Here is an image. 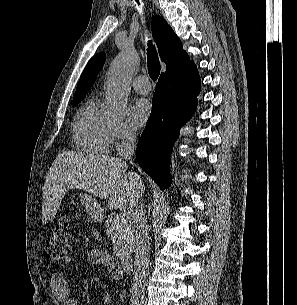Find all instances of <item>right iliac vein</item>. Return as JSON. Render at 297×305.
I'll return each instance as SVG.
<instances>
[{
	"mask_svg": "<svg viewBox=\"0 0 297 305\" xmlns=\"http://www.w3.org/2000/svg\"><path fill=\"white\" fill-rule=\"evenodd\" d=\"M132 305H142V304L137 303V304H132Z\"/></svg>",
	"mask_w": 297,
	"mask_h": 305,
	"instance_id": "63e3f726",
	"label": "right iliac vein"
}]
</instances>
